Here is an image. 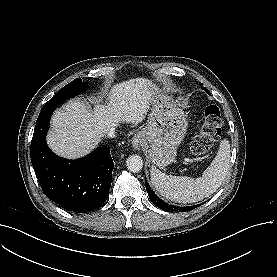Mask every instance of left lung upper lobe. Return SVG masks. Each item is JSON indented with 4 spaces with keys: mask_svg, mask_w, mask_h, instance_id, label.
Masks as SVG:
<instances>
[{
    "mask_svg": "<svg viewBox=\"0 0 277 277\" xmlns=\"http://www.w3.org/2000/svg\"><path fill=\"white\" fill-rule=\"evenodd\" d=\"M203 90H205L207 93H209V91L204 87V88H202Z\"/></svg>",
    "mask_w": 277,
    "mask_h": 277,
    "instance_id": "1",
    "label": "left lung upper lobe"
}]
</instances>
